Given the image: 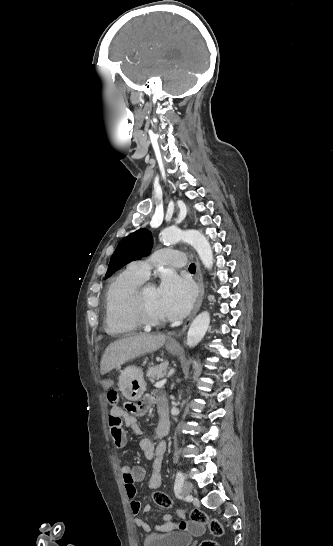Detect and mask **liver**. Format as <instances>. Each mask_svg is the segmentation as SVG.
Segmentation results:
<instances>
[{"mask_svg":"<svg viewBox=\"0 0 333 546\" xmlns=\"http://www.w3.org/2000/svg\"><path fill=\"white\" fill-rule=\"evenodd\" d=\"M166 341L164 335L140 334L126 337L110 344L101 359L100 373L104 375L140 355L160 349Z\"/></svg>","mask_w":333,"mask_h":546,"instance_id":"liver-1","label":"liver"}]
</instances>
